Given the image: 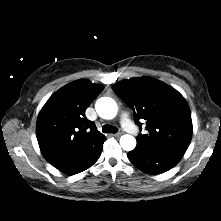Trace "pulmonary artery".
<instances>
[{
  "mask_svg": "<svg viewBox=\"0 0 221 221\" xmlns=\"http://www.w3.org/2000/svg\"><path fill=\"white\" fill-rule=\"evenodd\" d=\"M121 124L122 126L130 133H136V127L131 122L127 113L121 115Z\"/></svg>",
  "mask_w": 221,
  "mask_h": 221,
  "instance_id": "obj_1",
  "label": "pulmonary artery"
}]
</instances>
